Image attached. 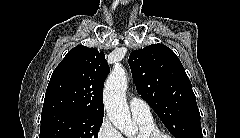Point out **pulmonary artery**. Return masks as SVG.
I'll return each mask as SVG.
<instances>
[{
  "label": "pulmonary artery",
  "instance_id": "pulmonary-artery-1",
  "mask_svg": "<svg viewBox=\"0 0 240 138\" xmlns=\"http://www.w3.org/2000/svg\"><path fill=\"white\" fill-rule=\"evenodd\" d=\"M129 107L134 117L151 118L149 105L138 97H132L129 101Z\"/></svg>",
  "mask_w": 240,
  "mask_h": 138
}]
</instances>
